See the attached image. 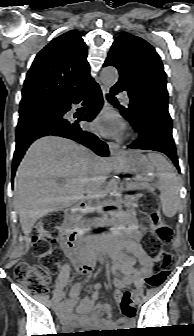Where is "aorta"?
<instances>
[{
  "instance_id": "obj_1",
  "label": "aorta",
  "mask_w": 194,
  "mask_h": 336,
  "mask_svg": "<svg viewBox=\"0 0 194 336\" xmlns=\"http://www.w3.org/2000/svg\"><path fill=\"white\" fill-rule=\"evenodd\" d=\"M118 71L115 67H105L101 71V80L105 86H112L118 81ZM118 184L112 180L107 186V198L104 201L106 206H115L117 204L115 198L117 196Z\"/></svg>"
}]
</instances>
